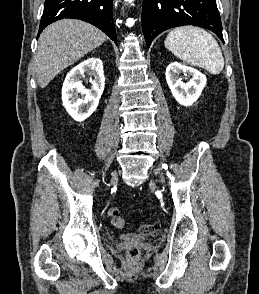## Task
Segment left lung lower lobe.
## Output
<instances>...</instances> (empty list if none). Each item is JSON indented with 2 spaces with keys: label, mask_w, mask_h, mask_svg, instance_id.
<instances>
[{
  "label": "left lung lower lobe",
  "mask_w": 259,
  "mask_h": 294,
  "mask_svg": "<svg viewBox=\"0 0 259 294\" xmlns=\"http://www.w3.org/2000/svg\"><path fill=\"white\" fill-rule=\"evenodd\" d=\"M141 19L148 47L161 32L183 25L209 29L224 42L216 0H143Z\"/></svg>",
  "instance_id": "obj_1"
}]
</instances>
